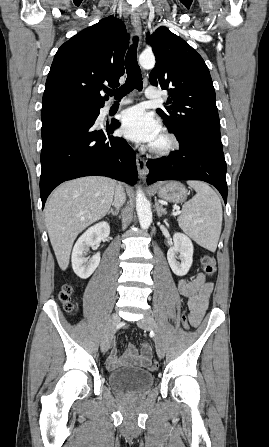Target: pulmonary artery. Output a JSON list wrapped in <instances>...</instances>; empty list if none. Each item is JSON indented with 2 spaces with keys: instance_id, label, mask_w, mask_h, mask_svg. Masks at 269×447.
I'll use <instances>...</instances> for the list:
<instances>
[{
  "instance_id": "e3ab8cb5",
  "label": "pulmonary artery",
  "mask_w": 269,
  "mask_h": 447,
  "mask_svg": "<svg viewBox=\"0 0 269 447\" xmlns=\"http://www.w3.org/2000/svg\"><path fill=\"white\" fill-rule=\"evenodd\" d=\"M145 96L149 99H154L159 97V93L153 88V87H148L145 90ZM132 103V99H130L129 97H123L122 99H120L119 101H117V104L119 105H126ZM115 103H107L105 106V110H109L111 107L114 106Z\"/></svg>"
}]
</instances>
